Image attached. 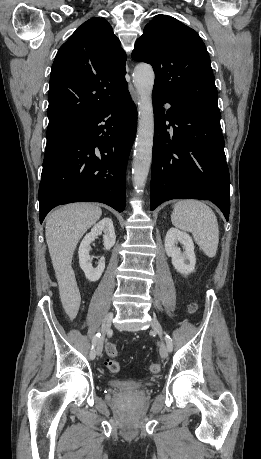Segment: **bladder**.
<instances>
[{
    "mask_svg": "<svg viewBox=\"0 0 261 459\" xmlns=\"http://www.w3.org/2000/svg\"><path fill=\"white\" fill-rule=\"evenodd\" d=\"M111 386L121 392H136L142 389L143 384L136 380L116 379L110 382Z\"/></svg>",
    "mask_w": 261,
    "mask_h": 459,
    "instance_id": "31cf9c89",
    "label": "bladder"
}]
</instances>
